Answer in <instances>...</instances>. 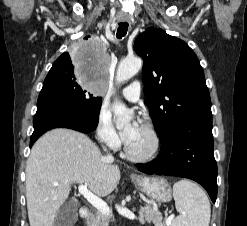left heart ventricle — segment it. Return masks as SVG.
<instances>
[{"instance_id": "b2bd125f", "label": "left heart ventricle", "mask_w": 247, "mask_h": 226, "mask_svg": "<svg viewBox=\"0 0 247 226\" xmlns=\"http://www.w3.org/2000/svg\"><path fill=\"white\" fill-rule=\"evenodd\" d=\"M129 128L130 126L126 130ZM126 143L130 151L139 156L150 153L154 145L151 134L143 126H140L138 131Z\"/></svg>"}]
</instances>
